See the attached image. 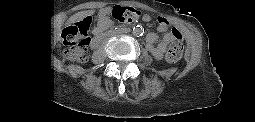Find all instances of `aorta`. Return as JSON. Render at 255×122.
<instances>
[{
	"label": "aorta",
	"mask_w": 255,
	"mask_h": 122,
	"mask_svg": "<svg viewBox=\"0 0 255 122\" xmlns=\"http://www.w3.org/2000/svg\"><path fill=\"white\" fill-rule=\"evenodd\" d=\"M144 33V29L142 26H135L132 30V34L136 37L142 36Z\"/></svg>",
	"instance_id": "1"
}]
</instances>
